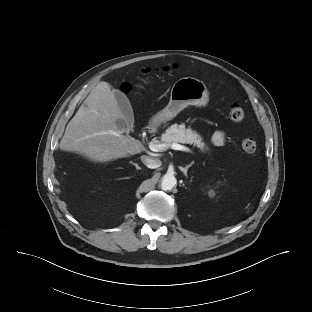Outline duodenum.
<instances>
[{
    "label": "duodenum",
    "mask_w": 312,
    "mask_h": 312,
    "mask_svg": "<svg viewBox=\"0 0 312 312\" xmlns=\"http://www.w3.org/2000/svg\"><path fill=\"white\" fill-rule=\"evenodd\" d=\"M153 131H154V127L152 125L147 126L144 130L146 134H151Z\"/></svg>",
    "instance_id": "1"
}]
</instances>
